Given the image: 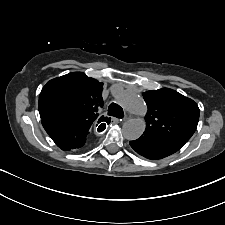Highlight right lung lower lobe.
<instances>
[{"label": "right lung lower lobe", "mask_w": 225, "mask_h": 225, "mask_svg": "<svg viewBox=\"0 0 225 225\" xmlns=\"http://www.w3.org/2000/svg\"><path fill=\"white\" fill-rule=\"evenodd\" d=\"M42 125L54 143L63 151H82L87 147L90 126L62 118H42Z\"/></svg>", "instance_id": "right-lung-lower-lobe-1"}]
</instances>
